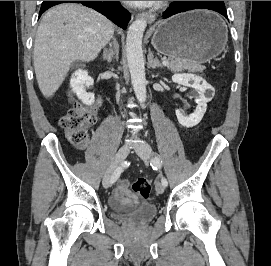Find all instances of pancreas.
<instances>
[{
	"mask_svg": "<svg viewBox=\"0 0 271 266\" xmlns=\"http://www.w3.org/2000/svg\"><path fill=\"white\" fill-rule=\"evenodd\" d=\"M168 69L172 72H179L182 70H190L193 72H202L204 70V66L198 63H192L188 61H183L179 59H169Z\"/></svg>",
	"mask_w": 271,
	"mask_h": 266,
	"instance_id": "pancreas-1",
	"label": "pancreas"
}]
</instances>
